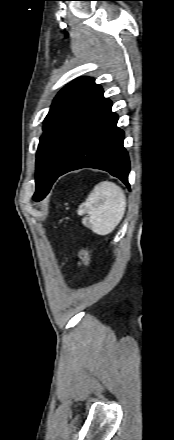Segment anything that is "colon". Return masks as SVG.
<instances>
[{"label": "colon", "instance_id": "5ec220e1", "mask_svg": "<svg viewBox=\"0 0 174 440\" xmlns=\"http://www.w3.org/2000/svg\"><path fill=\"white\" fill-rule=\"evenodd\" d=\"M79 256L87 266H90V267L93 266L92 254L90 253V251L86 247H84V246L80 247Z\"/></svg>", "mask_w": 174, "mask_h": 440}]
</instances>
